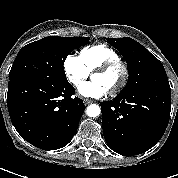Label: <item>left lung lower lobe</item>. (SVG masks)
I'll use <instances>...</instances> for the list:
<instances>
[{
    "label": "left lung lower lobe",
    "mask_w": 178,
    "mask_h": 178,
    "mask_svg": "<svg viewBox=\"0 0 178 178\" xmlns=\"http://www.w3.org/2000/svg\"><path fill=\"white\" fill-rule=\"evenodd\" d=\"M108 146L118 154L146 152L163 136L171 111V90L141 87L100 104Z\"/></svg>",
    "instance_id": "0a47b994"
}]
</instances>
